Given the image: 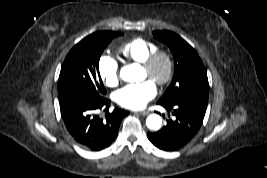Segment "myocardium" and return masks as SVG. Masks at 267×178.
<instances>
[{
	"label": "myocardium",
	"instance_id": "myocardium-1",
	"mask_svg": "<svg viewBox=\"0 0 267 178\" xmlns=\"http://www.w3.org/2000/svg\"><path fill=\"white\" fill-rule=\"evenodd\" d=\"M163 61L165 63V73L160 78H155L153 81L160 85H166L172 79L174 72V59L172 54L165 49H156L148 55V57L141 63L142 67L150 74L155 69L156 65Z\"/></svg>",
	"mask_w": 267,
	"mask_h": 178
}]
</instances>
